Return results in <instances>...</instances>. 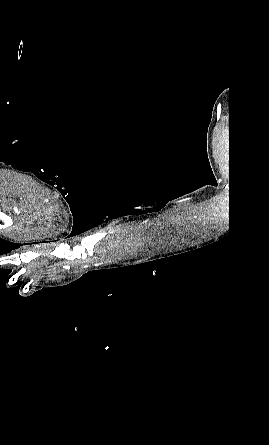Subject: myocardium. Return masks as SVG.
I'll return each mask as SVG.
<instances>
[{
	"label": "myocardium",
	"instance_id": "1",
	"mask_svg": "<svg viewBox=\"0 0 269 445\" xmlns=\"http://www.w3.org/2000/svg\"><path fill=\"white\" fill-rule=\"evenodd\" d=\"M53 235H55L54 233H51V234H46V235H44L43 237H49V236H53Z\"/></svg>",
	"mask_w": 269,
	"mask_h": 445
}]
</instances>
